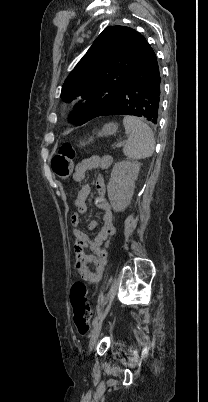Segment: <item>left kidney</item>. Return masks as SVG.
<instances>
[{
  "label": "left kidney",
  "instance_id": "5707ae66",
  "mask_svg": "<svg viewBox=\"0 0 208 402\" xmlns=\"http://www.w3.org/2000/svg\"><path fill=\"white\" fill-rule=\"evenodd\" d=\"M140 166V162L132 160L115 164L107 186L108 198L114 212H123L129 206Z\"/></svg>",
  "mask_w": 208,
  "mask_h": 402
}]
</instances>
